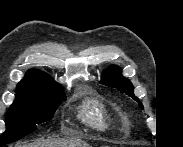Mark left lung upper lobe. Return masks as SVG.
I'll return each instance as SVG.
<instances>
[{
	"mask_svg": "<svg viewBox=\"0 0 183 147\" xmlns=\"http://www.w3.org/2000/svg\"><path fill=\"white\" fill-rule=\"evenodd\" d=\"M100 83L112 88H116L122 93H125L134 100L138 101V98L134 95L132 83L127 78L122 76L121 69L117 66H112L104 71L103 78ZM139 105L143 108L141 102H139Z\"/></svg>",
	"mask_w": 183,
	"mask_h": 147,
	"instance_id": "obj_1",
	"label": "left lung upper lobe"
}]
</instances>
